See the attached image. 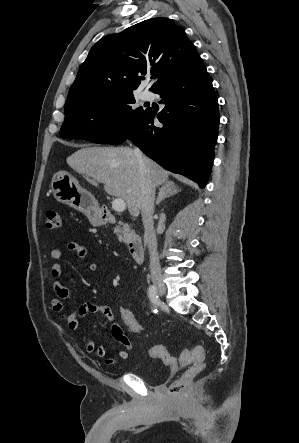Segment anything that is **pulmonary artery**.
I'll use <instances>...</instances> for the list:
<instances>
[{"mask_svg": "<svg viewBox=\"0 0 299 443\" xmlns=\"http://www.w3.org/2000/svg\"><path fill=\"white\" fill-rule=\"evenodd\" d=\"M149 98H150V94L149 93H144L143 99L147 100Z\"/></svg>", "mask_w": 299, "mask_h": 443, "instance_id": "pulmonary-artery-1", "label": "pulmonary artery"}]
</instances>
